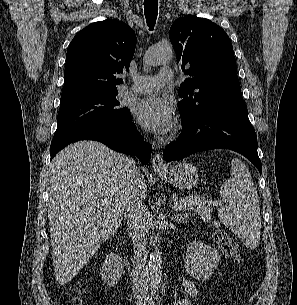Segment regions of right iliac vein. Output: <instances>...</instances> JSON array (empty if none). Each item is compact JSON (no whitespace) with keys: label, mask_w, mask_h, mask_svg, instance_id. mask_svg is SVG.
Returning <instances> with one entry per match:
<instances>
[{"label":"right iliac vein","mask_w":297,"mask_h":305,"mask_svg":"<svg viewBox=\"0 0 297 305\" xmlns=\"http://www.w3.org/2000/svg\"><path fill=\"white\" fill-rule=\"evenodd\" d=\"M136 305H146V304H143V303H137Z\"/></svg>","instance_id":"obj_1"}]
</instances>
